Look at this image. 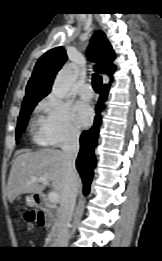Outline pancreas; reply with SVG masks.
Segmentation results:
<instances>
[{
	"label": "pancreas",
	"mask_w": 162,
	"mask_h": 261,
	"mask_svg": "<svg viewBox=\"0 0 162 261\" xmlns=\"http://www.w3.org/2000/svg\"><path fill=\"white\" fill-rule=\"evenodd\" d=\"M47 211H49V210L47 209ZM56 236H57V223H55V225L52 227L50 233L48 234L49 238H54Z\"/></svg>",
	"instance_id": "cf45deb5"
}]
</instances>
